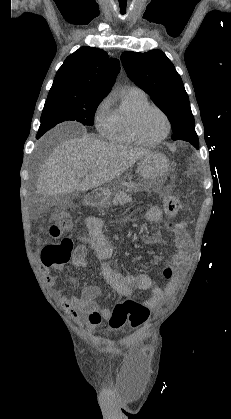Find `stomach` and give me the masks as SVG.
Listing matches in <instances>:
<instances>
[{"instance_id": "0dacf381", "label": "stomach", "mask_w": 231, "mask_h": 419, "mask_svg": "<svg viewBox=\"0 0 231 419\" xmlns=\"http://www.w3.org/2000/svg\"><path fill=\"white\" fill-rule=\"evenodd\" d=\"M138 171L142 177L141 187L148 192H156L165 182L170 163L167 157L159 152H150L138 162ZM116 189L101 188L86 197L92 205H103L110 199Z\"/></svg>"}]
</instances>
